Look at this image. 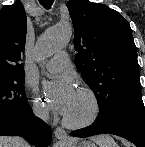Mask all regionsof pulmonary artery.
<instances>
[{"label": "pulmonary artery", "mask_w": 145, "mask_h": 147, "mask_svg": "<svg viewBox=\"0 0 145 147\" xmlns=\"http://www.w3.org/2000/svg\"><path fill=\"white\" fill-rule=\"evenodd\" d=\"M68 65V54L66 52L56 54L46 64L45 68L51 73H58Z\"/></svg>", "instance_id": "1"}]
</instances>
